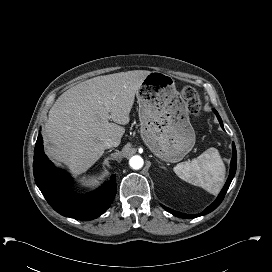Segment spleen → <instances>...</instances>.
Instances as JSON below:
<instances>
[{"label": "spleen", "instance_id": "1", "mask_svg": "<svg viewBox=\"0 0 272 272\" xmlns=\"http://www.w3.org/2000/svg\"><path fill=\"white\" fill-rule=\"evenodd\" d=\"M182 180L216 195L225 179V165L215 148H208L197 158L177 164L173 168Z\"/></svg>", "mask_w": 272, "mask_h": 272}]
</instances>
